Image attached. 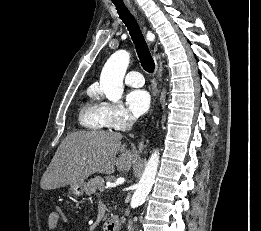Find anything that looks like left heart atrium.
<instances>
[{
    "label": "left heart atrium",
    "mask_w": 261,
    "mask_h": 231,
    "mask_svg": "<svg viewBox=\"0 0 261 231\" xmlns=\"http://www.w3.org/2000/svg\"><path fill=\"white\" fill-rule=\"evenodd\" d=\"M126 103L135 116H140L146 113L150 108L151 98L147 91L137 89L127 94Z\"/></svg>",
    "instance_id": "1"
}]
</instances>
